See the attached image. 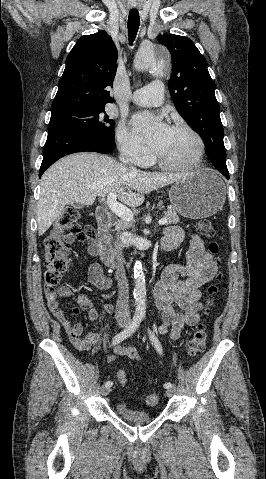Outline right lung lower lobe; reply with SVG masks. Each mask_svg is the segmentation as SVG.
Instances as JSON below:
<instances>
[{"label":"right lung lower lobe","mask_w":266,"mask_h":479,"mask_svg":"<svg viewBox=\"0 0 266 479\" xmlns=\"http://www.w3.org/2000/svg\"><path fill=\"white\" fill-rule=\"evenodd\" d=\"M114 148V141L73 130L50 128L43 151L39 177L49 166L65 155L85 151L106 154L113 151Z\"/></svg>","instance_id":"obj_1"}]
</instances>
